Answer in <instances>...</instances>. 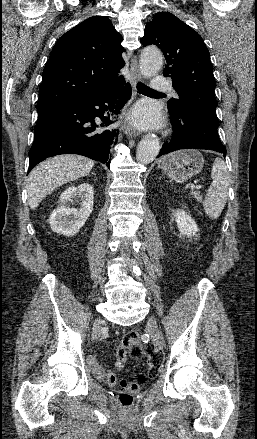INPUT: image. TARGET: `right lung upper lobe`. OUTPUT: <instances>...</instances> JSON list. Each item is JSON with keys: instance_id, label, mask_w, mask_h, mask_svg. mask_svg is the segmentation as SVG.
<instances>
[{"instance_id": "right-lung-upper-lobe-1", "label": "right lung upper lobe", "mask_w": 257, "mask_h": 439, "mask_svg": "<svg viewBox=\"0 0 257 439\" xmlns=\"http://www.w3.org/2000/svg\"><path fill=\"white\" fill-rule=\"evenodd\" d=\"M123 38L105 16H93L66 32L54 45L43 70L37 111L100 93L124 66Z\"/></svg>"}]
</instances>
